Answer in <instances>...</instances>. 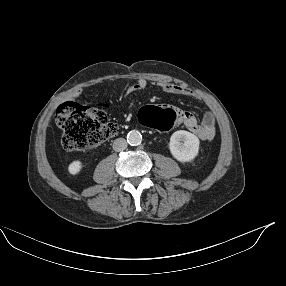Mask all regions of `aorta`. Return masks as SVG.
Listing matches in <instances>:
<instances>
[{"label":"aorta","mask_w":286,"mask_h":286,"mask_svg":"<svg viewBox=\"0 0 286 286\" xmlns=\"http://www.w3.org/2000/svg\"><path fill=\"white\" fill-rule=\"evenodd\" d=\"M127 142L132 146H137L142 142V135L137 130H132L127 135Z\"/></svg>","instance_id":"obj_1"}]
</instances>
